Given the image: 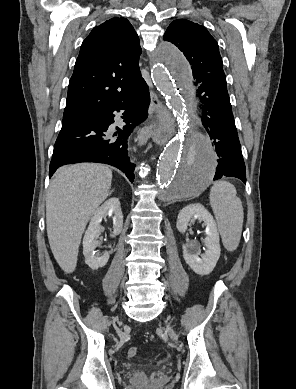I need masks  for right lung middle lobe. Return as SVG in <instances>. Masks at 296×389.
<instances>
[{
    "instance_id": "dd1d6c3e",
    "label": "right lung middle lobe",
    "mask_w": 296,
    "mask_h": 389,
    "mask_svg": "<svg viewBox=\"0 0 296 389\" xmlns=\"http://www.w3.org/2000/svg\"><path fill=\"white\" fill-rule=\"evenodd\" d=\"M86 118H79V119H63L62 120V129H67L69 127L74 126L75 124L85 120Z\"/></svg>"
}]
</instances>
